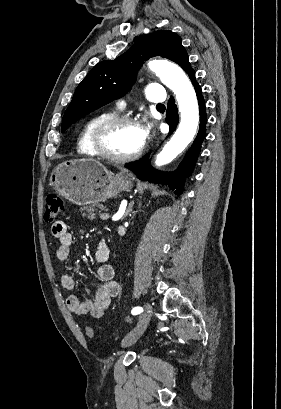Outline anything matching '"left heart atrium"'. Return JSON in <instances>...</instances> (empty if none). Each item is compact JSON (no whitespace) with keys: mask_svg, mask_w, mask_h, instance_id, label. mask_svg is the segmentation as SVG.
Listing matches in <instances>:
<instances>
[{"mask_svg":"<svg viewBox=\"0 0 281 409\" xmlns=\"http://www.w3.org/2000/svg\"><path fill=\"white\" fill-rule=\"evenodd\" d=\"M140 133H141L142 140L145 141L149 136V127L148 126L142 127L140 129Z\"/></svg>","mask_w":281,"mask_h":409,"instance_id":"1","label":"left heart atrium"}]
</instances>
